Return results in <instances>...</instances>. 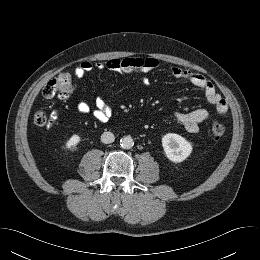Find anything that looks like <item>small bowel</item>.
Masks as SVG:
<instances>
[{
  "label": "small bowel",
  "mask_w": 260,
  "mask_h": 260,
  "mask_svg": "<svg viewBox=\"0 0 260 260\" xmlns=\"http://www.w3.org/2000/svg\"><path fill=\"white\" fill-rule=\"evenodd\" d=\"M158 60L153 58L141 57H126L123 59H112L105 63L97 62L93 65L89 61L81 62L75 69L74 75L77 78L84 77L94 67L97 70L107 69L116 73H136L141 75V80L144 84L148 82V74L159 67ZM170 72L176 79L188 81L195 87L204 91L207 100L215 105L219 115H225L228 110L225 99L217 92L214 85L204 76L194 73L180 67H171ZM78 112L82 115L89 113L90 107L87 102H79L77 106ZM112 115V109L103 99L99 98L96 101V106L93 111L94 118L100 123H106ZM209 114L206 109L200 108L187 113H177L175 120L184 127L189 133H196L199 130V125L208 118Z\"/></svg>",
  "instance_id": "c3829d8e"
}]
</instances>
